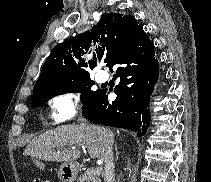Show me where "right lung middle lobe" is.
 Segmentation results:
<instances>
[{
	"label": "right lung middle lobe",
	"mask_w": 211,
	"mask_h": 182,
	"mask_svg": "<svg viewBox=\"0 0 211 182\" xmlns=\"http://www.w3.org/2000/svg\"><path fill=\"white\" fill-rule=\"evenodd\" d=\"M94 81L91 80L90 75L82 77L70 82L52 84L41 88L36 91L32 96L31 108L36 107L39 104H44L51 98L65 94V93H78L81 92V102L84 105L87 103L97 92L91 90Z\"/></svg>",
	"instance_id": "1"
}]
</instances>
